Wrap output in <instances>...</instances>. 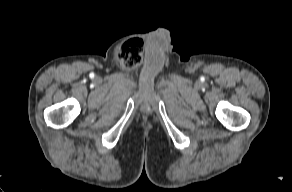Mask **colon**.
<instances>
[{
  "label": "colon",
  "instance_id": "5ec220e1",
  "mask_svg": "<svg viewBox=\"0 0 292 192\" xmlns=\"http://www.w3.org/2000/svg\"><path fill=\"white\" fill-rule=\"evenodd\" d=\"M137 45H141V42L139 41V40H135L134 41ZM132 45H134V43H131L129 46L131 47ZM136 59L133 61V62H131V66H135V65H137L139 62H140V48H139V50L136 52Z\"/></svg>",
  "mask_w": 292,
  "mask_h": 192
}]
</instances>
